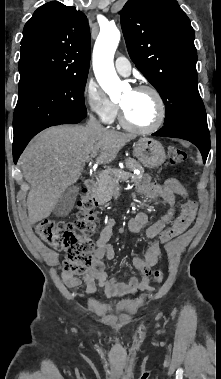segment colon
<instances>
[{
	"label": "colon",
	"mask_w": 221,
	"mask_h": 379,
	"mask_svg": "<svg viewBox=\"0 0 221 379\" xmlns=\"http://www.w3.org/2000/svg\"><path fill=\"white\" fill-rule=\"evenodd\" d=\"M172 164L185 161L186 153L173 147L168 151ZM96 202L82 195L78 201V215L72 222L43 220L36 226L40 237L56 250L65 252L64 270L73 274H83L92 261L93 241L92 235L96 228L94 209ZM197 213V204L188 200L181 209L175 222L160 233L161 243H166L184 233L194 222ZM157 281H161V270L154 272Z\"/></svg>",
	"instance_id": "5ec220e1"
}]
</instances>
